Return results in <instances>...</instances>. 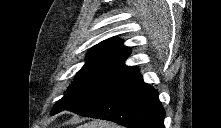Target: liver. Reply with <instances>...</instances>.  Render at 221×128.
Wrapping results in <instances>:
<instances>
[{
	"mask_svg": "<svg viewBox=\"0 0 221 128\" xmlns=\"http://www.w3.org/2000/svg\"><path fill=\"white\" fill-rule=\"evenodd\" d=\"M78 128H120V126L103 120H93L79 126Z\"/></svg>",
	"mask_w": 221,
	"mask_h": 128,
	"instance_id": "liver-1",
	"label": "liver"
}]
</instances>
